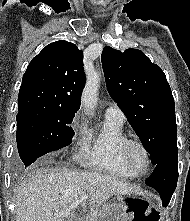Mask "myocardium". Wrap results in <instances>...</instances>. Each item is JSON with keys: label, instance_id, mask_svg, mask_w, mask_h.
Listing matches in <instances>:
<instances>
[{"label": "myocardium", "instance_id": "obj_1", "mask_svg": "<svg viewBox=\"0 0 190 221\" xmlns=\"http://www.w3.org/2000/svg\"><path fill=\"white\" fill-rule=\"evenodd\" d=\"M133 147H139L145 154L146 164L143 169H139L132 161L131 151ZM122 159L125 165L136 175L145 174L151 166V153L147 145L137 138H127L121 149Z\"/></svg>", "mask_w": 190, "mask_h": 221}]
</instances>
